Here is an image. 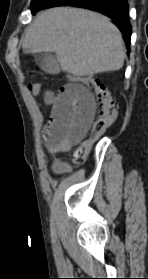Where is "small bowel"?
<instances>
[{
  "instance_id": "small-bowel-1",
  "label": "small bowel",
  "mask_w": 148,
  "mask_h": 279,
  "mask_svg": "<svg viewBox=\"0 0 148 279\" xmlns=\"http://www.w3.org/2000/svg\"><path fill=\"white\" fill-rule=\"evenodd\" d=\"M44 101L50 111L42 130L45 146L50 153L68 151L89 129L95 112L93 97L85 86L71 82L56 92L45 93ZM52 170L68 173L70 167L57 162Z\"/></svg>"
}]
</instances>
